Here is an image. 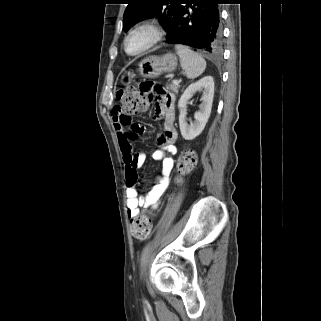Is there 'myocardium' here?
I'll use <instances>...</instances> for the list:
<instances>
[{"mask_svg": "<svg viewBox=\"0 0 321 321\" xmlns=\"http://www.w3.org/2000/svg\"><path fill=\"white\" fill-rule=\"evenodd\" d=\"M138 31H147L150 34V40L149 42L139 51L137 52H130L127 47V43L129 38L136 32ZM164 36V29L162 25L156 21V20H145L142 21L136 25H134L125 35L124 40H123V48L124 51L130 55V56H139L150 49H152L154 46H156Z\"/></svg>", "mask_w": 321, "mask_h": 321, "instance_id": "obj_1", "label": "myocardium"}]
</instances>
